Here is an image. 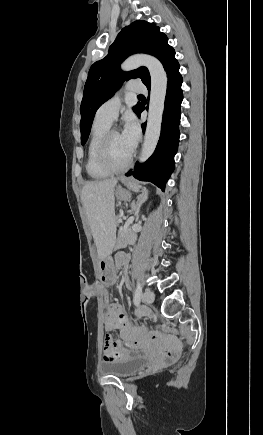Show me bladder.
Returning a JSON list of instances; mask_svg holds the SVG:
<instances>
[{
	"label": "bladder",
	"mask_w": 263,
	"mask_h": 435,
	"mask_svg": "<svg viewBox=\"0 0 263 435\" xmlns=\"http://www.w3.org/2000/svg\"><path fill=\"white\" fill-rule=\"evenodd\" d=\"M148 364V359L144 356L131 355L125 359L107 362L101 366V373L107 376L118 378L129 377Z\"/></svg>",
	"instance_id": "bladder-1"
}]
</instances>
